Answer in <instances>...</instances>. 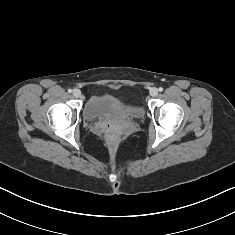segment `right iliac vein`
<instances>
[{
    "label": "right iliac vein",
    "instance_id": "63e3f726",
    "mask_svg": "<svg viewBox=\"0 0 235 235\" xmlns=\"http://www.w3.org/2000/svg\"><path fill=\"white\" fill-rule=\"evenodd\" d=\"M73 95H74V97L78 98L81 96V91L79 89H74Z\"/></svg>",
    "mask_w": 235,
    "mask_h": 235
}]
</instances>
